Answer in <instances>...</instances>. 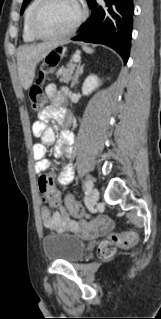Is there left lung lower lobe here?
<instances>
[{"mask_svg": "<svg viewBox=\"0 0 161 319\" xmlns=\"http://www.w3.org/2000/svg\"><path fill=\"white\" fill-rule=\"evenodd\" d=\"M104 1L105 5H99L96 0L88 1L92 14L72 40L107 45L119 53L126 64L131 46L133 0Z\"/></svg>", "mask_w": 161, "mask_h": 319, "instance_id": "obj_1", "label": "left lung lower lobe"}]
</instances>
